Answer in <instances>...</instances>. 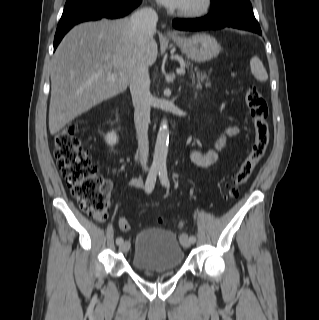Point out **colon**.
I'll list each match as a JSON object with an SVG mask.
<instances>
[{
	"label": "colon",
	"instance_id": "5ec220e1",
	"mask_svg": "<svg viewBox=\"0 0 319 320\" xmlns=\"http://www.w3.org/2000/svg\"><path fill=\"white\" fill-rule=\"evenodd\" d=\"M254 136L247 155L232 175L225 190V198L233 200L238 189L243 186L265 155L270 140L268 106L258 88L250 85L244 93ZM80 126L70 123L54 138L55 157L62 177L69 186L73 197L82 210L93 218L104 221L109 207V183L97 171L96 165L88 157L78 138ZM163 223L162 219L158 220ZM119 226L129 231L130 223L121 219Z\"/></svg>",
	"mask_w": 319,
	"mask_h": 320
}]
</instances>
